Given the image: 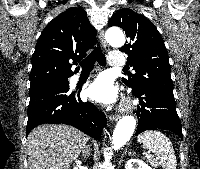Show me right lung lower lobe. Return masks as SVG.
Wrapping results in <instances>:
<instances>
[{"label":"right lung lower lobe","mask_w":200,"mask_h":169,"mask_svg":"<svg viewBox=\"0 0 200 169\" xmlns=\"http://www.w3.org/2000/svg\"><path fill=\"white\" fill-rule=\"evenodd\" d=\"M36 85V84H35ZM26 135L40 124H68L96 140L100 139L106 117L94 104L82 102L69 92L68 78L43 86H30Z\"/></svg>","instance_id":"right-lung-lower-lobe-1"}]
</instances>
